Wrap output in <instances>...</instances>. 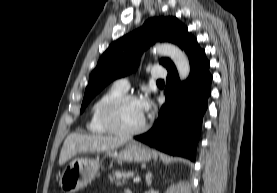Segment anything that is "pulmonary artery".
Masks as SVG:
<instances>
[{"instance_id": "e3ab8cb5", "label": "pulmonary artery", "mask_w": 277, "mask_h": 193, "mask_svg": "<svg viewBox=\"0 0 277 193\" xmlns=\"http://www.w3.org/2000/svg\"><path fill=\"white\" fill-rule=\"evenodd\" d=\"M166 75V70L160 67H154L151 71V76L153 78H164ZM115 85L121 90L126 91L129 88V81L127 78H120L115 81Z\"/></svg>"}]
</instances>
